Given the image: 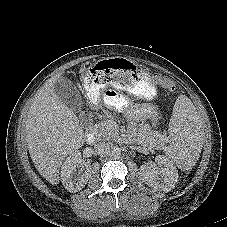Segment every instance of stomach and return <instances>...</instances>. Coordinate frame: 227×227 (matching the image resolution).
Segmentation results:
<instances>
[{
  "label": "stomach",
  "instance_id": "obj_1",
  "mask_svg": "<svg viewBox=\"0 0 227 227\" xmlns=\"http://www.w3.org/2000/svg\"><path fill=\"white\" fill-rule=\"evenodd\" d=\"M120 86L124 92L140 98H151L155 89L145 71L126 56H103L94 61L86 72L84 87L91 103H95L103 87Z\"/></svg>",
  "mask_w": 227,
  "mask_h": 227
}]
</instances>
